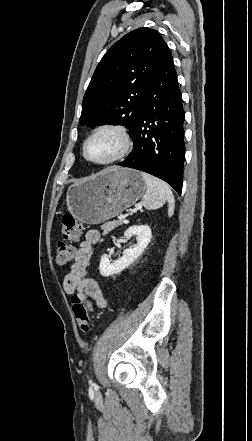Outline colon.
Wrapping results in <instances>:
<instances>
[{
	"label": "colon",
	"mask_w": 252,
	"mask_h": 441,
	"mask_svg": "<svg viewBox=\"0 0 252 441\" xmlns=\"http://www.w3.org/2000/svg\"><path fill=\"white\" fill-rule=\"evenodd\" d=\"M82 230L83 226L72 215L66 214L63 216V240L59 241L56 247V264L58 266H64L73 259L74 247L71 243L79 239ZM72 311L76 317L80 329L83 332H87L89 330L90 316L85 302L77 294L72 297Z\"/></svg>",
	"instance_id": "1"
}]
</instances>
